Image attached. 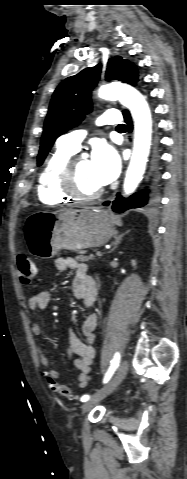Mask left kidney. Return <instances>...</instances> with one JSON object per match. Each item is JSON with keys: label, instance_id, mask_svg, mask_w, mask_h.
Wrapping results in <instances>:
<instances>
[{"label": "left kidney", "instance_id": "5707ae66", "mask_svg": "<svg viewBox=\"0 0 187 479\" xmlns=\"http://www.w3.org/2000/svg\"><path fill=\"white\" fill-rule=\"evenodd\" d=\"M131 264H132L133 267H135V266H136V261H135V260H132V261H131Z\"/></svg>", "mask_w": 187, "mask_h": 479}]
</instances>
